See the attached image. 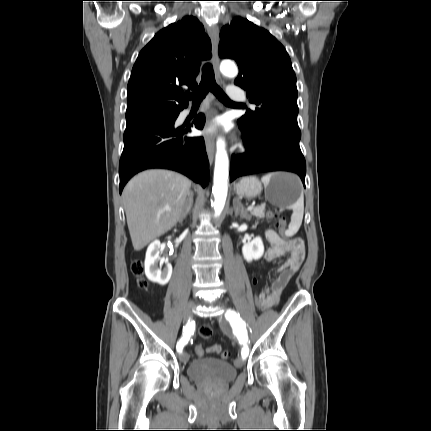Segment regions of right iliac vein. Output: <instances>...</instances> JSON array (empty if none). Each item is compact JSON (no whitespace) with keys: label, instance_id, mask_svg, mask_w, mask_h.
Returning <instances> with one entry per match:
<instances>
[{"label":"right iliac vein","instance_id":"1","mask_svg":"<svg viewBox=\"0 0 431 431\" xmlns=\"http://www.w3.org/2000/svg\"><path fill=\"white\" fill-rule=\"evenodd\" d=\"M194 306H195V301H194V300H190V301L188 302V304L186 305L185 310H184V313H183V319H184V321H187V320L189 319V317H190V316H191V314H192V310H193ZM180 360H181V362H183V363L188 362V360H189V355H188V353H186V352H182V353L180 354Z\"/></svg>","mask_w":431,"mask_h":431}]
</instances>
